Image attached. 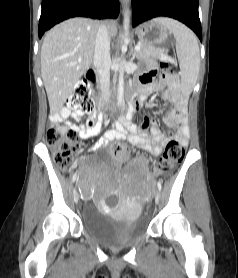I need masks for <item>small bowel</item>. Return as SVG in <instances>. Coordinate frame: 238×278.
<instances>
[{"mask_svg": "<svg viewBox=\"0 0 238 278\" xmlns=\"http://www.w3.org/2000/svg\"><path fill=\"white\" fill-rule=\"evenodd\" d=\"M157 74V64L150 62L148 69L139 77L137 98L138 107L142 106L147 97L163 91L164 101L173 105V109L164 117L167 125L176 128L174 135L164 134L157 122L146 115L142 123L137 126L132 122L133 113L126 112L114 127L108 130L91 148V151H97L105 148L112 141L127 140L133 146L144 149L155 156H159L164 147L172 140L178 141L182 146H186L189 140V129L187 126V93L183 91L175 77L168 79L161 78L155 81ZM137 107V108H138ZM82 113L70 111L62 108L55 112L51 117V124L54 128L65 130L73 128L79 132L82 139H89L97 136L103 126V116L101 114L91 113L89 117L81 124L68 121L69 117L79 120ZM128 155L122 157L120 161L126 162ZM136 164L141 170H144V162L139 159Z\"/></svg>", "mask_w": 238, "mask_h": 278, "instance_id": "obj_1", "label": "small bowel"}]
</instances>
